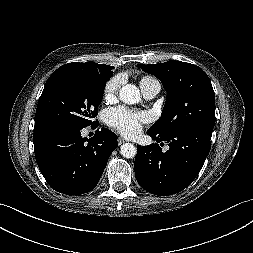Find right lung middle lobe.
<instances>
[{"label": "right lung middle lobe", "instance_id": "dd1d6c3e", "mask_svg": "<svg viewBox=\"0 0 253 253\" xmlns=\"http://www.w3.org/2000/svg\"><path fill=\"white\" fill-rule=\"evenodd\" d=\"M111 74L93 68L63 65L48 79L38 102L35 128L64 124L78 129L95 124Z\"/></svg>", "mask_w": 253, "mask_h": 253}]
</instances>
